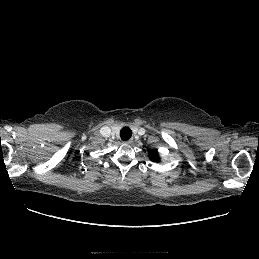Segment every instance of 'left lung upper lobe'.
Masks as SVG:
<instances>
[{
  "label": "left lung upper lobe",
  "instance_id": "5c2ea615",
  "mask_svg": "<svg viewBox=\"0 0 259 259\" xmlns=\"http://www.w3.org/2000/svg\"><path fill=\"white\" fill-rule=\"evenodd\" d=\"M149 158L152 160V161H159V156H158V153L156 151H151L150 154H149Z\"/></svg>",
  "mask_w": 259,
  "mask_h": 259
}]
</instances>
